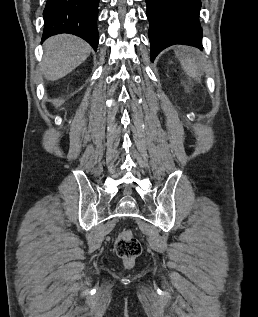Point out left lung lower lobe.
Wrapping results in <instances>:
<instances>
[{"label":"left lung lower lobe","mask_w":258,"mask_h":317,"mask_svg":"<svg viewBox=\"0 0 258 317\" xmlns=\"http://www.w3.org/2000/svg\"><path fill=\"white\" fill-rule=\"evenodd\" d=\"M150 23L151 61L165 48L189 45L202 49L201 0H145Z\"/></svg>","instance_id":"1"}]
</instances>
